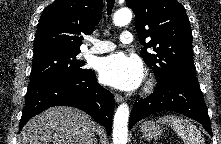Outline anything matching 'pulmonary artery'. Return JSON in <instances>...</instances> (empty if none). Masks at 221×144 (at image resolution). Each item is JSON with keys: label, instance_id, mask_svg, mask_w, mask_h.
<instances>
[{"label": "pulmonary artery", "instance_id": "pulmonary-artery-1", "mask_svg": "<svg viewBox=\"0 0 221 144\" xmlns=\"http://www.w3.org/2000/svg\"><path fill=\"white\" fill-rule=\"evenodd\" d=\"M120 41L123 44H130L133 41V35L129 31H124L120 35ZM92 47L86 50V54H101L113 51L115 49V44L111 41H102V40H92Z\"/></svg>", "mask_w": 221, "mask_h": 144}]
</instances>
